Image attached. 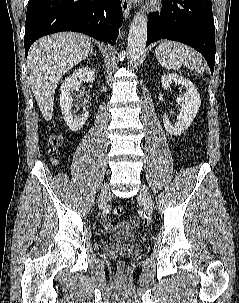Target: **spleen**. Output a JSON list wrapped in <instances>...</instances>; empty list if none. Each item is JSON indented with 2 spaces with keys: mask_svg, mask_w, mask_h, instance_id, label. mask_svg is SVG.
<instances>
[{
  "mask_svg": "<svg viewBox=\"0 0 239 303\" xmlns=\"http://www.w3.org/2000/svg\"><path fill=\"white\" fill-rule=\"evenodd\" d=\"M158 62L168 70L179 69L182 65L198 73L205 70L201 55L192 47L175 41H163L155 49Z\"/></svg>",
  "mask_w": 239,
  "mask_h": 303,
  "instance_id": "spleen-1",
  "label": "spleen"
}]
</instances>
